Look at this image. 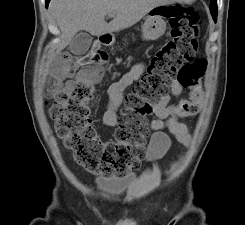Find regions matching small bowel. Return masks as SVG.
<instances>
[{"label": "small bowel", "mask_w": 245, "mask_h": 225, "mask_svg": "<svg viewBox=\"0 0 245 225\" xmlns=\"http://www.w3.org/2000/svg\"><path fill=\"white\" fill-rule=\"evenodd\" d=\"M145 68L144 63L136 64L131 71L125 73L118 81L113 82L107 89L108 103L102 115V122L110 127L118 126V108L123 99L124 90L132 83L137 81ZM100 71L98 67H91L85 70V73L95 74ZM170 94L162 97L152 106V115L150 128L153 131L150 137L149 145L145 155L138 159V162H153L160 159L167 151L170 145V138L166 133L168 130L176 140L186 146L190 142V135L187 130L178 122L177 107L169 104L173 97H179L183 91V86L178 80L171 83ZM138 164L134 167H137Z\"/></svg>", "instance_id": "1"}]
</instances>
